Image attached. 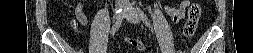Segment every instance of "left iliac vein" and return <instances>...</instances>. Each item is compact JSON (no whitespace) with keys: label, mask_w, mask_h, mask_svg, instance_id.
Wrapping results in <instances>:
<instances>
[{"label":"left iliac vein","mask_w":253,"mask_h":53,"mask_svg":"<svg viewBox=\"0 0 253 53\" xmlns=\"http://www.w3.org/2000/svg\"><path fill=\"white\" fill-rule=\"evenodd\" d=\"M127 20L133 24H138L140 22L139 17L133 9H130L129 13L127 14Z\"/></svg>","instance_id":"1"}]
</instances>
